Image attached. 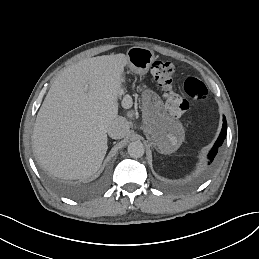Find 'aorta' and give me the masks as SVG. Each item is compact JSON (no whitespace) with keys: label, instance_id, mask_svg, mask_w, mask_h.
<instances>
[{"label":"aorta","instance_id":"1","mask_svg":"<svg viewBox=\"0 0 259 259\" xmlns=\"http://www.w3.org/2000/svg\"><path fill=\"white\" fill-rule=\"evenodd\" d=\"M144 145L140 141L131 142L128 145V154L132 158H140L144 155Z\"/></svg>","mask_w":259,"mask_h":259}]
</instances>
